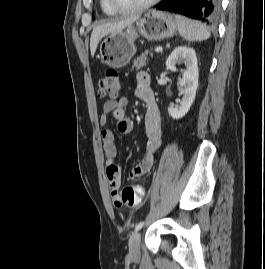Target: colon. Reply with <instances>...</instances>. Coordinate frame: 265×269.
I'll return each mask as SVG.
<instances>
[{"instance_id":"colon-1","label":"colon","mask_w":265,"mask_h":269,"mask_svg":"<svg viewBox=\"0 0 265 269\" xmlns=\"http://www.w3.org/2000/svg\"><path fill=\"white\" fill-rule=\"evenodd\" d=\"M119 93V76L116 70H108L99 81L101 98L115 99ZM144 197V189L140 185L126 186L118 194L120 206L135 207Z\"/></svg>"}]
</instances>
